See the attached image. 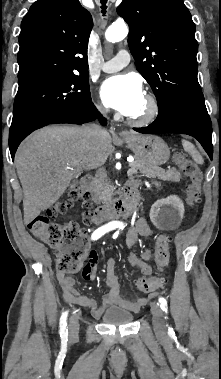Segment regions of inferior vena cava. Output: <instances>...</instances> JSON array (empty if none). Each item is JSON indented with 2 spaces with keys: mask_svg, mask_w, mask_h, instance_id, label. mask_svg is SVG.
<instances>
[{
  "mask_svg": "<svg viewBox=\"0 0 221 379\" xmlns=\"http://www.w3.org/2000/svg\"><path fill=\"white\" fill-rule=\"evenodd\" d=\"M85 132L92 137L99 136L105 132L99 124H92L85 128Z\"/></svg>",
  "mask_w": 221,
  "mask_h": 379,
  "instance_id": "obj_1",
  "label": "inferior vena cava"
}]
</instances>
